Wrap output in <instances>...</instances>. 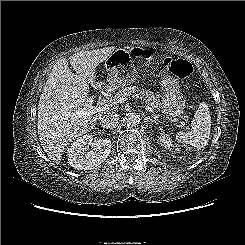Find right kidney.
Masks as SVG:
<instances>
[{
	"instance_id": "ca27d5eb",
	"label": "right kidney",
	"mask_w": 245,
	"mask_h": 245,
	"mask_svg": "<svg viewBox=\"0 0 245 245\" xmlns=\"http://www.w3.org/2000/svg\"><path fill=\"white\" fill-rule=\"evenodd\" d=\"M91 150L85 153L87 147ZM111 151L109 138L98 139L92 135H84L77 138L67 150L70 166L78 170H90L104 162Z\"/></svg>"
}]
</instances>
